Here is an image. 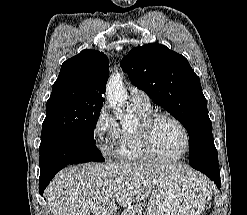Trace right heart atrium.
Here are the masks:
<instances>
[{
	"instance_id": "1",
	"label": "right heart atrium",
	"mask_w": 247,
	"mask_h": 215,
	"mask_svg": "<svg viewBox=\"0 0 247 215\" xmlns=\"http://www.w3.org/2000/svg\"><path fill=\"white\" fill-rule=\"evenodd\" d=\"M121 129L106 106H102L95 118L93 133L99 150L105 156H115L116 145L120 139Z\"/></svg>"
}]
</instances>
